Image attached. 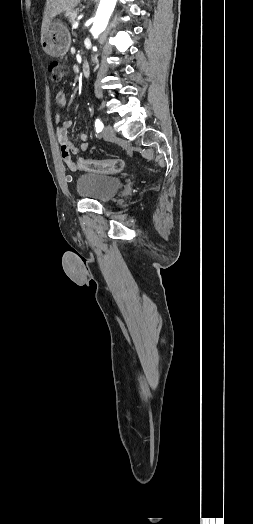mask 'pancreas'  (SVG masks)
<instances>
[{"instance_id": "obj_1", "label": "pancreas", "mask_w": 253, "mask_h": 524, "mask_svg": "<svg viewBox=\"0 0 253 524\" xmlns=\"http://www.w3.org/2000/svg\"><path fill=\"white\" fill-rule=\"evenodd\" d=\"M79 13V9H72L66 12V18L69 20L70 23H74L75 19L77 18Z\"/></svg>"}]
</instances>
